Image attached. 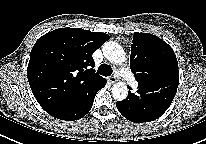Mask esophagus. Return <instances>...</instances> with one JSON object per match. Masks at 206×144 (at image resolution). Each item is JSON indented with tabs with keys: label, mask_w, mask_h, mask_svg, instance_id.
Masks as SVG:
<instances>
[{
	"label": "esophagus",
	"mask_w": 206,
	"mask_h": 144,
	"mask_svg": "<svg viewBox=\"0 0 206 144\" xmlns=\"http://www.w3.org/2000/svg\"><path fill=\"white\" fill-rule=\"evenodd\" d=\"M117 81H118L117 76H111V77H109V82H110L111 84H114V83H116Z\"/></svg>",
	"instance_id": "1"
}]
</instances>
